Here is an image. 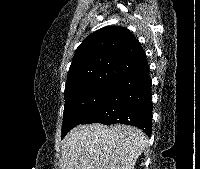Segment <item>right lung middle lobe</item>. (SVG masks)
<instances>
[{"instance_id":"obj_1","label":"right lung middle lobe","mask_w":200,"mask_h":169,"mask_svg":"<svg viewBox=\"0 0 200 169\" xmlns=\"http://www.w3.org/2000/svg\"><path fill=\"white\" fill-rule=\"evenodd\" d=\"M117 81L103 80L93 83L65 99L62 138L89 117L110 95Z\"/></svg>"}]
</instances>
